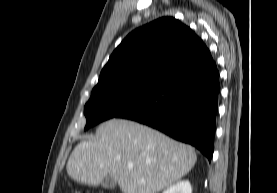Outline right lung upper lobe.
Listing matches in <instances>:
<instances>
[{"label": "right lung upper lobe", "instance_id": "1", "mask_svg": "<svg viewBox=\"0 0 277 193\" xmlns=\"http://www.w3.org/2000/svg\"><path fill=\"white\" fill-rule=\"evenodd\" d=\"M210 59V51L189 27L173 17H162L121 42L92 91L124 86L158 89Z\"/></svg>", "mask_w": 277, "mask_h": 193}]
</instances>
